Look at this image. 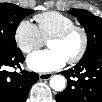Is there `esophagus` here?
<instances>
[{"mask_svg": "<svg viewBox=\"0 0 102 102\" xmlns=\"http://www.w3.org/2000/svg\"><path fill=\"white\" fill-rule=\"evenodd\" d=\"M53 76L52 73H40L39 79L40 80H49Z\"/></svg>", "mask_w": 102, "mask_h": 102, "instance_id": "esophagus-1", "label": "esophagus"}]
</instances>
